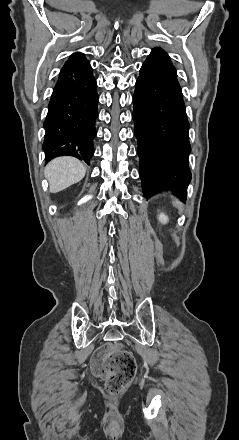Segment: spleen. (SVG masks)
Masks as SVG:
<instances>
[{
  "instance_id": "3e777b00",
  "label": "spleen",
  "mask_w": 239,
  "mask_h": 440,
  "mask_svg": "<svg viewBox=\"0 0 239 440\" xmlns=\"http://www.w3.org/2000/svg\"><path fill=\"white\" fill-rule=\"evenodd\" d=\"M175 208H181L182 204L179 202V200H176V202H173Z\"/></svg>"
}]
</instances>
